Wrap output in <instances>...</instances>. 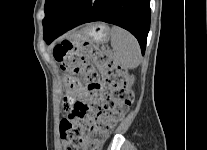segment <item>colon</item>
Returning a JSON list of instances; mask_svg holds the SVG:
<instances>
[{"label": "colon", "mask_w": 207, "mask_h": 150, "mask_svg": "<svg viewBox=\"0 0 207 150\" xmlns=\"http://www.w3.org/2000/svg\"><path fill=\"white\" fill-rule=\"evenodd\" d=\"M53 57L63 72L83 79L93 98L89 103L63 99L65 107H72L60 125L64 150H78L86 143L90 150H99L133 102V93L128 88L125 71L90 41L56 45ZM87 62L94 63L104 72V87L97 72ZM64 87L65 90L75 87V79L64 77ZM63 94L66 96L68 93L65 91Z\"/></svg>", "instance_id": "colon-1"}]
</instances>
